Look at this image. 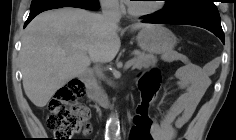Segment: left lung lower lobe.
<instances>
[{"label":"left lung lower lobe","mask_w":236,"mask_h":140,"mask_svg":"<svg viewBox=\"0 0 236 140\" xmlns=\"http://www.w3.org/2000/svg\"><path fill=\"white\" fill-rule=\"evenodd\" d=\"M144 23H155V24H185L202 27L214 33L224 43L225 37L221 27L220 21L202 19V18H189V17H175L168 18L163 16L161 13L156 14L151 18H146Z\"/></svg>","instance_id":"left-lung-lower-lobe-1"}]
</instances>
